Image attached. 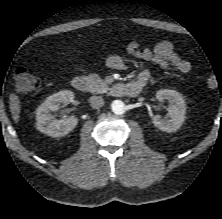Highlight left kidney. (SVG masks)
<instances>
[{
	"instance_id": "left-kidney-1",
	"label": "left kidney",
	"mask_w": 222,
	"mask_h": 219,
	"mask_svg": "<svg viewBox=\"0 0 222 219\" xmlns=\"http://www.w3.org/2000/svg\"><path fill=\"white\" fill-rule=\"evenodd\" d=\"M159 101L167 100L169 107V119H162L160 115L152 118L153 124L162 131L174 132L178 130L185 121L186 104L182 95L174 90L161 89L156 92Z\"/></svg>"
}]
</instances>
